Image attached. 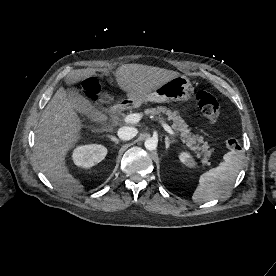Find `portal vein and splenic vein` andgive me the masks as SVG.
Returning a JSON list of instances; mask_svg holds the SVG:
<instances>
[{
	"label": "portal vein and splenic vein",
	"mask_w": 276,
	"mask_h": 276,
	"mask_svg": "<svg viewBox=\"0 0 276 276\" xmlns=\"http://www.w3.org/2000/svg\"><path fill=\"white\" fill-rule=\"evenodd\" d=\"M141 117H142L141 114L132 113V114L127 115L124 118V121L127 124H135V123H138L141 120ZM162 126L165 129V131H167L170 135L176 136L175 132L172 130V128L167 123L162 122Z\"/></svg>",
	"instance_id": "1"
}]
</instances>
